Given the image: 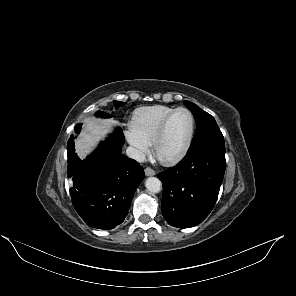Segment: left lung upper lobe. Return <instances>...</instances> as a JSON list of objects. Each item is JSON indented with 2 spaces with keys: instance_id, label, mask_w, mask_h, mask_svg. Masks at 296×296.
I'll return each mask as SVG.
<instances>
[{
  "instance_id": "left-lung-upper-lobe-1",
  "label": "left lung upper lobe",
  "mask_w": 296,
  "mask_h": 296,
  "mask_svg": "<svg viewBox=\"0 0 296 296\" xmlns=\"http://www.w3.org/2000/svg\"><path fill=\"white\" fill-rule=\"evenodd\" d=\"M184 104L191 110L197 124V130L187 153L212 143L224 142V137L212 115L190 101H184Z\"/></svg>"
}]
</instances>
